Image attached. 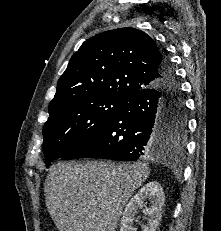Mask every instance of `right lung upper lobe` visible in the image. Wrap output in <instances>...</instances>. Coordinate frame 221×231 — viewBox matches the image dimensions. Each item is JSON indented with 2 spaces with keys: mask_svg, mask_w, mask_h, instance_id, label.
<instances>
[{
  "mask_svg": "<svg viewBox=\"0 0 221 231\" xmlns=\"http://www.w3.org/2000/svg\"><path fill=\"white\" fill-rule=\"evenodd\" d=\"M163 52L145 32L120 28L86 40L71 57L57 83L49 115L90 96L127 99L158 83Z\"/></svg>",
  "mask_w": 221,
  "mask_h": 231,
  "instance_id": "cb5924a9",
  "label": "right lung upper lobe"
}]
</instances>
